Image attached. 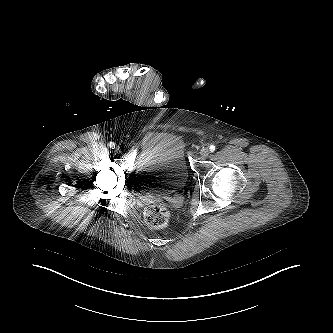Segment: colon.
<instances>
[{"label":"colon","instance_id":"1","mask_svg":"<svg viewBox=\"0 0 333 333\" xmlns=\"http://www.w3.org/2000/svg\"><path fill=\"white\" fill-rule=\"evenodd\" d=\"M171 213L164 205L149 206L144 213L146 224L154 229H162L169 224Z\"/></svg>","mask_w":333,"mask_h":333}]
</instances>
